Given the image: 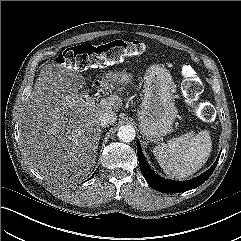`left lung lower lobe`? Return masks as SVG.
Segmentation results:
<instances>
[{
	"label": "left lung lower lobe",
	"mask_w": 241,
	"mask_h": 241,
	"mask_svg": "<svg viewBox=\"0 0 241 241\" xmlns=\"http://www.w3.org/2000/svg\"><path fill=\"white\" fill-rule=\"evenodd\" d=\"M137 155H138V159H139L140 170H141L144 178L148 182V184L155 190L164 192V193H170V192L180 193V192L188 191V190H191L193 188L200 186L213 173V171L218 163L219 157H220V155H219L218 159L212 165V167L209 170H207L205 173H203L202 175H200L194 179L181 182V181L167 180V179L161 178L160 176L156 175L150 169L148 164L146 163L145 157H144L141 147H140V144H138V146H137Z\"/></svg>",
	"instance_id": "0a47b994"
}]
</instances>
